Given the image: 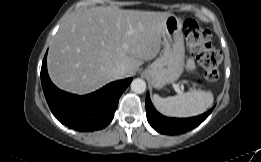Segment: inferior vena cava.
<instances>
[{"mask_svg": "<svg viewBox=\"0 0 261 162\" xmlns=\"http://www.w3.org/2000/svg\"><path fill=\"white\" fill-rule=\"evenodd\" d=\"M126 73L125 66L119 65L113 69V75L115 78L120 79L122 78Z\"/></svg>", "mask_w": 261, "mask_h": 162, "instance_id": "1", "label": "inferior vena cava"}]
</instances>
